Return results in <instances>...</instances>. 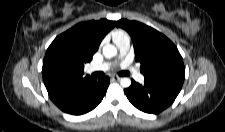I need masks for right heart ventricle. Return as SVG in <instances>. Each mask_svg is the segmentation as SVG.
Here are the masks:
<instances>
[{
    "label": "right heart ventricle",
    "instance_id": "1",
    "mask_svg": "<svg viewBox=\"0 0 225 132\" xmlns=\"http://www.w3.org/2000/svg\"><path fill=\"white\" fill-rule=\"evenodd\" d=\"M128 37H129L128 34L123 30H115L112 33V38L115 41V43Z\"/></svg>",
    "mask_w": 225,
    "mask_h": 132
}]
</instances>
